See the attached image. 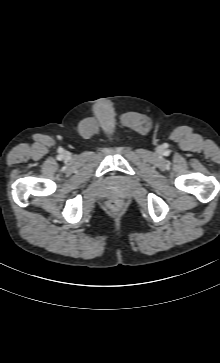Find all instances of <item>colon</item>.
Returning a JSON list of instances; mask_svg holds the SVG:
<instances>
[{"mask_svg":"<svg viewBox=\"0 0 220 363\" xmlns=\"http://www.w3.org/2000/svg\"><path fill=\"white\" fill-rule=\"evenodd\" d=\"M108 206L112 211H118L122 207V202L120 200H112Z\"/></svg>","mask_w":220,"mask_h":363,"instance_id":"1","label":"colon"}]
</instances>
